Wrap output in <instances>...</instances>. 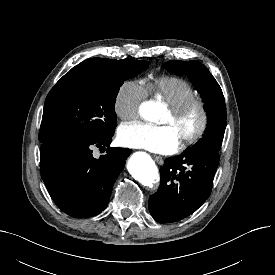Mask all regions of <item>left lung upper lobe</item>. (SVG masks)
I'll list each match as a JSON object with an SVG mask.
<instances>
[{"mask_svg":"<svg viewBox=\"0 0 275 275\" xmlns=\"http://www.w3.org/2000/svg\"><path fill=\"white\" fill-rule=\"evenodd\" d=\"M167 71L176 75H187L197 91L201 94L208 114V125L203 138L186 149V151L199 149H212L219 151L222 145L226 127V106L222 90L209 72L198 61H168L163 64Z\"/></svg>","mask_w":275,"mask_h":275,"instance_id":"obj_1","label":"left lung upper lobe"}]
</instances>
